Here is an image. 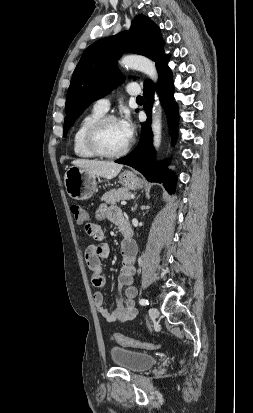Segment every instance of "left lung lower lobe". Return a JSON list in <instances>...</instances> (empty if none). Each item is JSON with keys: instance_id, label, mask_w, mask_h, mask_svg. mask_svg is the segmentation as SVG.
<instances>
[{"instance_id": "obj_1", "label": "left lung lower lobe", "mask_w": 253, "mask_h": 413, "mask_svg": "<svg viewBox=\"0 0 253 413\" xmlns=\"http://www.w3.org/2000/svg\"><path fill=\"white\" fill-rule=\"evenodd\" d=\"M159 81L157 85L160 101L163 104L170 122V127L174 132L173 141L176 138L177 129V105L174 100V86L172 72L168 67V57L158 68ZM154 85L152 81L144 82V106L143 110L148 115L147 120L142 124L141 138L136 149L127 156L116 160L120 164L129 165L141 172L148 181L164 183L166 190L172 194L175 187V175L168 170L167 163L154 160L155 151L152 146L151 131V109L154 97Z\"/></svg>"}]
</instances>
